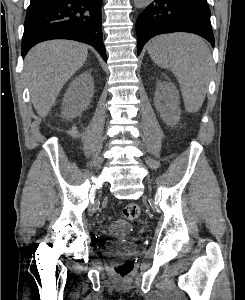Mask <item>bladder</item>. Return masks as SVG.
<instances>
[{
  "label": "bladder",
  "mask_w": 245,
  "mask_h": 300,
  "mask_svg": "<svg viewBox=\"0 0 245 300\" xmlns=\"http://www.w3.org/2000/svg\"><path fill=\"white\" fill-rule=\"evenodd\" d=\"M134 231V226L128 222L122 220H116L111 222L106 230L104 231V235L107 238L111 239H120L123 238Z\"/></svg>",
  "instance_id": "1"
}]
</instances>
